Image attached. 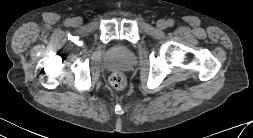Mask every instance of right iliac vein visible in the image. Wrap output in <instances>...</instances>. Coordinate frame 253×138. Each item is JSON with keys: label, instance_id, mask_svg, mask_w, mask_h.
I'll return each mask as SVG.
<instances>
[{"label": "right iliac vein", "instance_id": "63e3f726", "mask_svg": "<svg viewBox=\"0 0 253 138\" xmlns=\"http://www.w3.org/2000/svg\"><path fill=\"white\" fill-rule=\"evenodd\" d=\"M71 23H72L74 26H77V25L80 24V19H78V18L73 19V20L71 21Z\"/></svg>", "mask_w": 253, "mask_h": 138}]
</instances>
